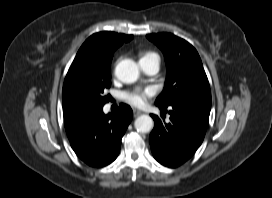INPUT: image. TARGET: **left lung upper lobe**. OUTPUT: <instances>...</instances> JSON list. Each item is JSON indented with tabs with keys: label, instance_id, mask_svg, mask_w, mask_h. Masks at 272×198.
I'll list each match as a JSON object with an SVG mask.
<instances>
[{
	"label": "left lung upper lobe",
	"instance_id": "5c2ea615",
	"mask_svg": "<svg viewBox=\"0 0 272 198\" xmlns=\"http://www.w3.org/2000/svg\"><path fill=\"white\" fill-rule=\"evenodd\" d=\"M146 37L162 50L167 66L165 87L155 104L186 103L211 107L209 82L196 49L171 33Z\"/></svg>",
	"mask_w": 272,
	"mask_h": 198
}]
</instances>
